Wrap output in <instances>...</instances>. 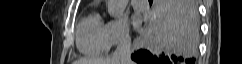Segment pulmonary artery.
I'll list each match as a JSON object with an SVG mask.
<instances>
[{"instance_id": "1", "label": "pulmonary artery", "mask_w": 242, "mask_h": 64, "mask_svg": "<svg viewBox=\"0 0 242 64\" xmlns=\"http://www.w3.org/2000/svg\"><path fill=\"white\" fill-rule=\"evenodd\" d=\"M132 5L138 11H145L148 8L146 0H132Z\"/></svg>"}]
</instances>
